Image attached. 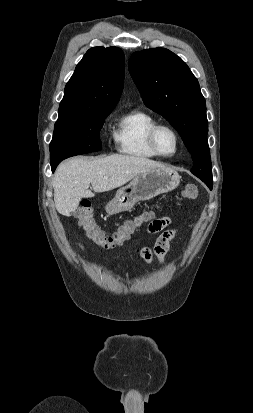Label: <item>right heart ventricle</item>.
Here are the masks:
<instances>
[{"instance_id":"1","label":"right heart ventricle","mask_w":253,"mask_h":413,"mask_svg":"<svg viewBox=\"0 0 253 413\" xmlns=\"http://www.w3.org/2000/svg\"><path fill=\"white\" fill-rule=\"evenodd\" d=\"M156 123V119L151 114L140 109H134L123 115L114 131L118 152L141 159L155 158L157 155L148 144V132Z\"/></svg>"}]
</instances>
